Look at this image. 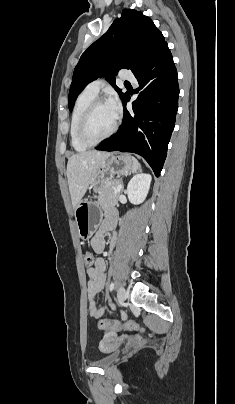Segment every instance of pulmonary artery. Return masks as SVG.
Listing matches in <instances>:
<instances>
[{
    "mask_svg": "<svg viewBox=\"0 0 235 404\" xmlns=\"http://www.w3.org/2000/svg\"><path fill=\"white\" fill-rule=\"evenodd\" d=\"M119 76L121 79L135 82V78H134V75L131 70H123V71H121ZM104 85H105L104 80L98 79V80H95V81L89 83L86 86L85 91L96 96Z\"/></svg>",
    "mask_w": 235,
    "mask_h": 404,
    "instance_id": "1",
    "label": "pulmonary artery"
}]
</instances>
